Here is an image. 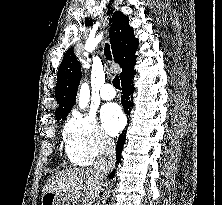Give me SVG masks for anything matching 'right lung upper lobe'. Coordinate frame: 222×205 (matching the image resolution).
Returning a JSON list of instances; mask_svg holds the SVG:
<instances>
[{
  "instance_id": "1",
  "label": "right lung upper lobe",
  "mask_w": 222,
  "mask_h": 205,
  "mask_svg": "<svg viewBox=\"0 0 222 205\" xmlns=\"http://www.w3.org/2000/svg\"><path fill=\"white\" fill-rule=\"evenodd\" d=\"M109 33L114 60L122 68V80L135 72L138 40L133 35V28L129 26L128 17L120 11L113 14ZM57 76L55 97L59 107L55 115L56 118H65L75 103L78 84L82 77L81 66L73 53V48L65 53Z\"/></svg>"
}]
</instances>
